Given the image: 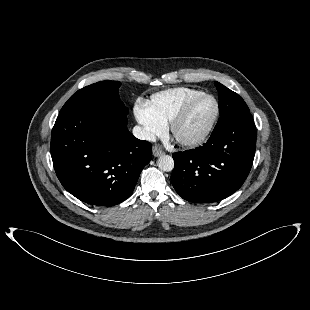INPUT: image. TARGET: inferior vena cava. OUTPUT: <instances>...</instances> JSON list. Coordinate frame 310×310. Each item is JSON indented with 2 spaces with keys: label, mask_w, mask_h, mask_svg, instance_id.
I'll return each mask as SVG.
<instances>
[{
  "label": "inferior vena cava",
  "mask_w": 310,
  "mask_h": 310,
  "mask_svg": "<svg viewBox=\"0 0 310 310\" xmlns=\"http://www.w3.org/2000/svg\"><path fill=\"white\" fill-rule=\"evenodd\" d=\"M133 135L140 140L156 141V136L141 126H135L133 128Z\"/></svg>",
  "instance_id": "602c4592"
}]
</instances>
